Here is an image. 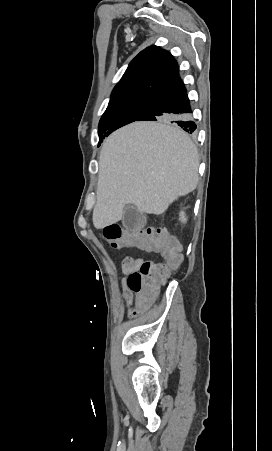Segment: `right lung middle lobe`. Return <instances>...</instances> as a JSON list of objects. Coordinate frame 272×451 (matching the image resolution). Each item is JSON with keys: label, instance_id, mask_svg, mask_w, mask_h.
<instances>
[{"label": "right lung middle lobe", "instance_id": "1", "mask_svg": "<svg viewBox=\"0 0 272 451\" xmlns=\"http://www.w3.org/2000/svg\"><path fill=\"white\" fill-rule=\"evenodd\" d=\"M149 98H131L110 102L99 122V144L114 130L136 121L147 109Z\"/></svg>", "mask_w": 272, "mask_h": 451}]
</instances>
